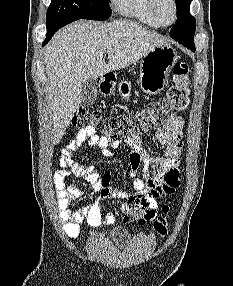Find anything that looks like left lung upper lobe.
Here are the masks:
<instances>
[{
	"label": "left lung upper lobe",
	"instance_id": "5c2ea615",
	"mask_svg": "<svg viewBox=\"0 0 233 286\" xmlns=\"http://www.w3.org/2000/svg\"><path fill=\"white\" fill-rule=\"evenodd\" d=\"M177 8V21L170 31L175 40L191 39L195 34L196 20L190 14L191 0H175Z\"/></svg>",
	"mask_w": 233,
	"mask_h": 286
}]
</instances>
